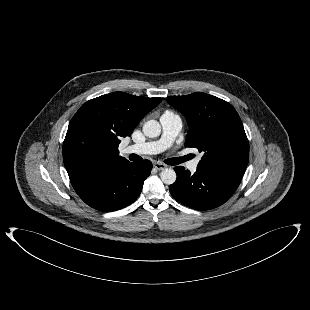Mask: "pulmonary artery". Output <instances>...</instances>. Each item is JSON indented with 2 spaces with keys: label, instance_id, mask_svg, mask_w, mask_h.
Wrapping results in <instances>:
<instances>
[{
  "label": "pulmonary artery",
  "instance_id": "1",
  "mask_svg": "<svg viewBox=\"0 0 310 310\" xmlns=\"http://www.w3.org/2000/svg\"><path fill=\"white\" fill-rule=\"evenodd\" d=\"M162 127V136L159 140L150 141L142 144L126 146L123 149L125 154L135 153L139 155L158 154L166 150L174 141L180 130L182 129L181 118L172 112H165L160 117ZM200 158H196L187 163V168L195 172L198 168Z\"/></svg>",
  "mask_w": 310,
  "mask_h": 310
}]
</instances>
